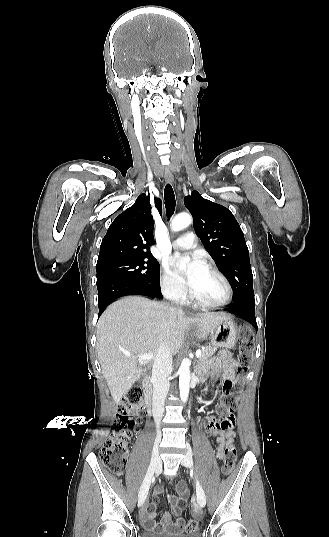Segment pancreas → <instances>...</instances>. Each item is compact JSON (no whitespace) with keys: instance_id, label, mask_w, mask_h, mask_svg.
Returning <instances> with one entry per match:
<instances>
[{"instance_id":"pancreas-1","label":"pancreas","mask_w":329,"mask_h":537,"mask_svg":"<svg viewBox=\"0 0 329 537\" xmlns=\"http://www.w3.org/2000/svg\"><path fill=\"white\" fill-rule=\"evenodd\" d=\"M216 350H217L216 347H211V346L205 347L202 350V356L200 357L199 361L206 362L215 353Z\"/></svg>"}]
</instances>
